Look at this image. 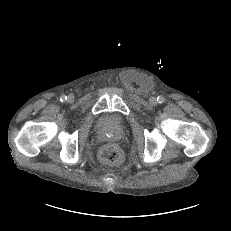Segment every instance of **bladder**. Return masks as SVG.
Here are the masks:
<instances>
[{
    "instance_id": "obj_1",
    "label": "bladder",
    "mask_w": 231,
    "mask_h": 231,
    "mask_svg": "<svg viewBox=\"0 0 231 231\" xmlns=\"http://www.w3.org/2000/svg\"><path fill=\"white\" fill-rule=\"evenodd\" d=\"M97 126L121 132L126 127V121L121 116L105 114L98 119Z\"/></svg>"
}]
</instances>
